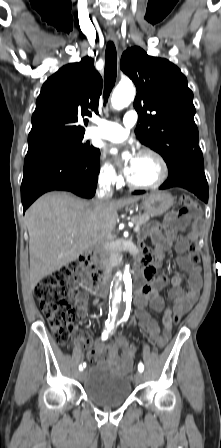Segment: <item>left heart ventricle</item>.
Returning a JSON list of instances; mask_svg holds the SVG:
<instances>
[{
  "mask_svg": "<svg viewBox=\"0 0 221 448\" xmlns=\"http://www.w3.org/2000/svg\"><path fill=\"white\" fill-rule=\"evenodd\" d=\"M161 175L157 161L148 155L138 156L136 168L130 178L138 183H152Z\"/></svg>",
  "mask_w": 221,
  "mask_h": 448,
  "instance_id": "b2bd125f",
  "label": "left heart ventricle"
}]
</instances>
